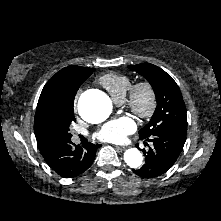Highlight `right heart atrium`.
<instances>
[{
  "mask_svg": "<svg viewBox=\"0 0 221 221\" xmlns=\"http://www.w3.org/2000/svg\"><path fill=\"white\" fill-rule=\"evenodd\" d=\"M77 99H78V95H76V98H75V104H76V102H77Z\"/></svg>",
  "mask_w": 221,
  "mask_h": 221,
  "instance_id": "d8ad5b80",
  "label": "right heart atrium"
}]
</instances>
